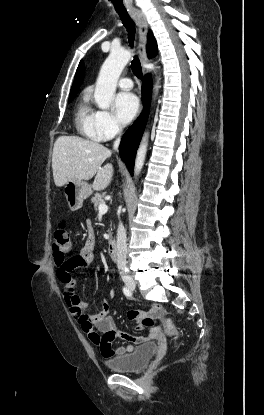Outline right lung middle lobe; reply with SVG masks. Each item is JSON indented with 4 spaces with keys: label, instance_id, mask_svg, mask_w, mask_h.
I'll return each mask as SVG.
<instances>
[{
    "label": "right lung middle lobe",
    "instance_id": "dd1d6c3e",
    "mask_svg": "<svg viewBox=\"0 0 264 415\" xmlns=\"http://www.w3.org/2000/svg\"><path fill=\"white\" fill-rule=\"evenodd\" d=\"M73 98H74V96H70L68 102H71L73 100Z\"/></svg>",
    "mask_w": 264,
    "mask_h": 415
}]
</instances>
